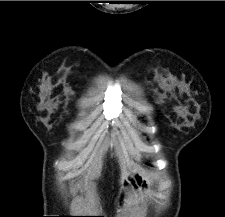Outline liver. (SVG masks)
Segmentation results:
<instances>
[{
	"label": "liver",
	"instance_id": "liver-1",
	"mask_svg": "<svg viewBox=\"0 0 225 217\" xmlns=\"http://www.w3.org/2000/svg\"><path fill=\"white\" fill-rule=\"evenodd\" d=\"M127 176H128V173L125 170H123V173H122V182H123L124 179H126Z\"/></svg>",
	"mask_w": 225,
	"mask_h": 217
}]
</instances>
